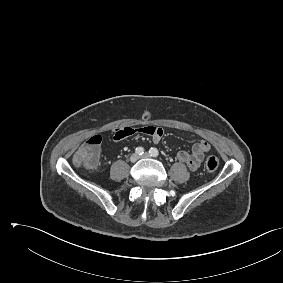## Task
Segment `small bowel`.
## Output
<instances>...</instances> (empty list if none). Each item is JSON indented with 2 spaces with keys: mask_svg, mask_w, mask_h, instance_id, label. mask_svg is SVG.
Listing matches in <instances>:
<instances>
[{
  "mask_svg": "<svg viewBox=\"0 0 283 283\" xmlns=\"http://www.w3.org/2000/svg\"><path fill=\"white\" fill-rule=\"evenodd\" d=\"M136 133H144L152 137L155 143L159 142L163 137V129L157 126H145L142 128L120 127L113 130V141L119 142ZM211 146L206 140L196 142L191 151L181 150L177 153V159L184 163L190 170H196L202 163L205 154L210 150Z\"/></svg>",
  "mask_w": 283,
  "mask_h": 283,
  "instance_id": "small-bowel-1",
  "label": "small bowel"
}]
</instances>
